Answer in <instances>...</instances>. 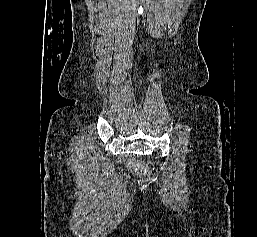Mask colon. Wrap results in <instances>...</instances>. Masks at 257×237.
<instances>
[{
    "label": "colon",
    "instance_id": "colon-1",
    "mask_svg": "<svg viewBox=\"0 0 257 237\" xmlns=\"http://www.w3.org/2000/svg\"><path fill=\"white\" fill-rule=\"evenodd\" d=\"M137 169H138L139 171H141V172H145V171H146V167H145V165H143V164H139V165L137 166Z\"/></svg>",
    "mask_w": 257,
    "mask_h": 237
}]
</instances>
